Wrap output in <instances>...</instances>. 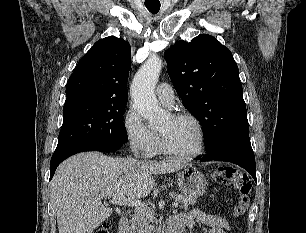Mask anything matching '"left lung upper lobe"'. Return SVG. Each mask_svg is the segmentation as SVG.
<instances>
[{
	"instance_id": "1",
	"label": "left lung upper lobe",
	"mask_w": 306,
	"mask_h": 233,
	"mask_svg": "<svg viewBox=\"0 0 306 233\" xmlns=\"http://www.w3.org/2000/svg\"><path fill=\"white\" fill-rule=\"evenodd\" d=\"M164 57L184 107L203 125L206 151L222 141L249 137L239 71L228 48L202 34L176 42Z\"/></svg>"
}]
</instances>
